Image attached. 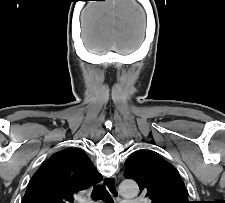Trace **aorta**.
Returning <instances> with one entry per match:
<instances>
[{
    "mask_svg": "<svg viewBox=\"0 0 225 203\" xmlns=\"http://www.w3.org/2000/svg\"><path fill=\"white\" fill-rule=\"evenodd\" d=\"M119 192L126 197L136 196L139 192L138 185L133 180H123L119 185Z\"/></svg>",
    "mask_w": 225,
    "mask_h": 203,
    "instance_id": "762f6f07",
    "label": "aorta"
}]
</instances>
